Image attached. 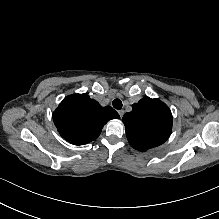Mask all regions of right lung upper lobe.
<instances>
[{"mask_svg":"<svg viewBox=\"0 0 219 219\" xmlns=\"http://www.w3.org/2000/svg\"><path fill=\"white\" fill-rule=\"evenodd\" d=\"M117 118L120 116L112 107H102L87 94L65 97L53 113V121L58 132L74 145L93 141L109 120Z\"/></svg>","mask_w":219,"mask_h":219,"instance_id":"cb5924a9","label":"right lung upper lobe"}]
</instances>
